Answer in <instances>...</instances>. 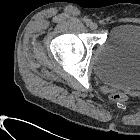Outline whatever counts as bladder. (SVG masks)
<instances>
[{
  "instance_id": "obj_1",
  "label": "bladder",
  "mask_w": 140,
  "mask_h": 140,
  "mask_svg": "<svg viewBox=\"0 0 140 140\" xmlns=\"http://www.w3.org/2000/svg\"><path fill=\"white\" fill-rule=\"evenodd\" d=\"M93 71L109 86L140 90L139 23H119L109 31L95 55Z\"/></svg>"
}]
</instances>
